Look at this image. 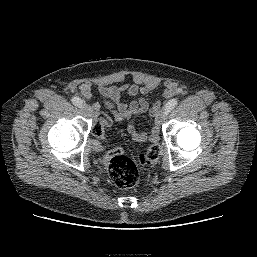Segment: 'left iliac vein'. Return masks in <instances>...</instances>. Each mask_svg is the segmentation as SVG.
I'll list each match as a JSON object with an SVG mask.
<instances>
[{
    "label": "left iliac vein",
    "instance_id": "left-iliac-vein-1",
    "mask_svg": "<svg viewBox=\"0 0 257 257\" xmlns=\"http://www.w3.org/2000/svg\"><path fill=\"white\" fill-rule=\"evenodd\" d=\"M167 115H168L167 110H166V109H163V110L161 111V113H160V114L158 115V117H157L158 123L163 122V121L166 119Z\"/></svg>",
    "mask_w": 257,
    "mask_h": 257
}]
</instances>
